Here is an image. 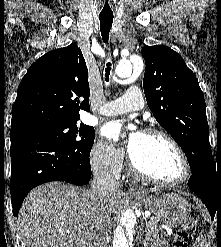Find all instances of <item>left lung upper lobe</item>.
I'll return each mask as SVG.
<instances>
[{
    "instance_id": "left-lung-upper-lobe-1",
    "label": "left lung upper lobe",
    "mask_w": 221,
    "mask_h": 247,
    "mask_svg": "<svg viewBox=\"0 0 221 247\" xmlns=\"http://www.w3.org/2000/svg\"><path fill=\"white\" fill-rule=\"evenodd\" d=\"M142 55L146 62L143 88L147 104L194 170L213 157L198 80L183 58L167 46H144Z\"/></svg>"
}]
</instances>
